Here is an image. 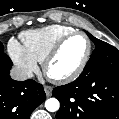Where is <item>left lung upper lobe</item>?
Masks as SVG:
<instances>
[{"instance_id":"left-lung-upper-lobe-1","label":"left lung upper lobe","mask_w":119,"mask_h":119,"mask_svg":"<svg viewBox=\"0 0 119 119\" xmlns=\"http://www.w3.org/2000/svg\"><path fill=\"white\" fill-rule=\"evenodd\" d=\"M87 35L89 36V38L94 42L95 44V50L93 51V54L91 55V58H94L95 56L99 55L101 52H103L104 49L110 47L111 45H109L108 43L101 41L97 38H95L94 36H92L90 33L87 32Z\"/></svg>"}]
</instances>
